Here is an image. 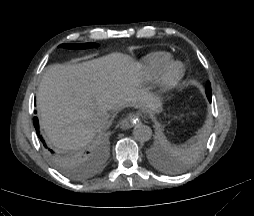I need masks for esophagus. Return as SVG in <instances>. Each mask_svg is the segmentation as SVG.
<instances>
[{
    "label": "esophagus",
    "instance_id": "34e87169",
    "mask_svg": "<svg viewBox=\"0 0 254 216\" xmlns=\"http://www.w3.org/2000/svg\"><path fill=\"white\" fill-rule=\"evenodd\" d=\"M140 122H141V119L139 115L129 114L120 121V127L124 130H127Z\"/></svg>",
    "mask_w": 254,
    "mask_h": 216
}]
</instances>
